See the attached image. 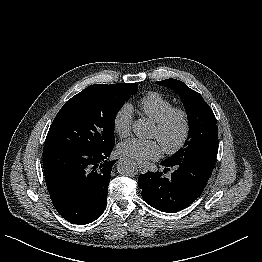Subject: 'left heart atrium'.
<instances>
[{
    "mask_svg": "<svg viewBox=\"0 0 262 262\" xmlns=\"http://www.w3.org/2000/svg\"><path fill=\"white\" fill-rule=\"evenodd\" d=\"M121 155L130 157L139 162L158 159L163 152V146L158 139L143 140L131 138L118 145Z\"/></svg>",
    "mask_w": 262,
    "mask_h": 262,
    "instance_id": "obj_1",
    "label": "left heart atrium"
}]
</instances>
